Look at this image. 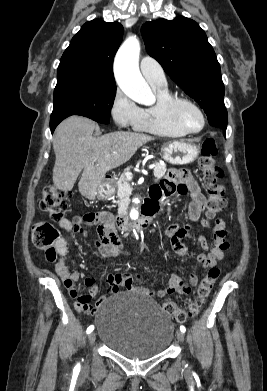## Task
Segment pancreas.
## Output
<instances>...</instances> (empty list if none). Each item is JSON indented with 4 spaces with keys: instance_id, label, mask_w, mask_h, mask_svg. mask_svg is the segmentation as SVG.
Masks as SVG:
<instances>
[{
    "instance_id": "1",
    "label": "pancreas",
    "mask_w": 267,
    "mask_h": 391,
    "mask_svg": "<svg viewBox=\"0 0 267 391\" xmlns=\"http://www.w3.org/2000/svg\"><path fill=\"white\" fill-rule=\"evenodd\" d=\"M155 167H154V176L157 178V179H160L162 178L165 173H166V166L165 165H162L160 164L159 162H155L154 163ZM127 173V172H126ZM126 173L122 174L120 177L118 178H115L113 180V184L116 186L117 188V195L118 197L120 198L122 193H123V187L125 185H128L129 184V179L126 177Z\"/></svg>"
}]
</instances>
